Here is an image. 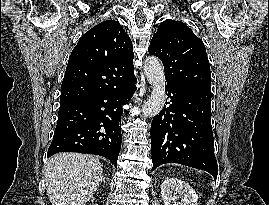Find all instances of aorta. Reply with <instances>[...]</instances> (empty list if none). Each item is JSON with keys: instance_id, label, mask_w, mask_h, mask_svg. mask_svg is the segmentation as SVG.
<instances>
[{"instance_id": "1", "label": "aorta", "mask_w": 269, "mask_h": 205, "mask_svg": "<svg viewBox=\"0 0 269 205\" xmlns=\"http://www.w3.org/2000/svg\"><path fill=\"white\" fill-rule=\"evenodd\" d=\"M144 71L147 80L153 86V90L143 105L142 115L145 118H150L159 114L165 104V74L163 65L155 56L145 59Z\"/></svg>"}]
</instances>
